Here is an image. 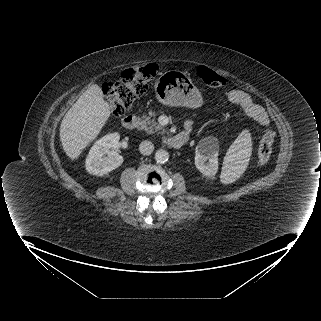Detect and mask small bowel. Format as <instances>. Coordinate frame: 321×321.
Wrapping results in <instances>:
<instances>
[{
	"label": "small bowel",
	"mask_w": 321,
	"mask_h": 321,
	"mask_svg": "<svg viewBox=\"0 0 321 321\" xmlns=\"http://www.w3.org/2000/svg\"><path fill=\"white\" fill-rule=\"evenodd\" d=\"M227 99L230 103L238 106L247 116L252 118L260 126L265 127L269 124V117L265 109L255 103L247 92L243 90L232 89L228 91ZM192 128V121H187L185 136L191 133Z\"/></svg>",
	"instance_id": "small-bowel-1"
}]
</instances>
